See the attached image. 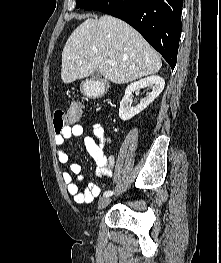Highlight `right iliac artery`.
<instances>
[{
	"label": "right iliac artery",
	"instance_id": "obj_1",
	"mask_svg": "<svg viewBox=\"0 0 221 263\" xmlns=\"http://www.w3.org/2000/svg\"><path fill=\"white\" fill-rule=\"evenodd\" d=\"M111 195H113V191H109V190L105 191L104 194H103L104 197H109Z\"/></svg>",
	"mask_w": 221,
	"mask_h": 263
}]
</instances>
